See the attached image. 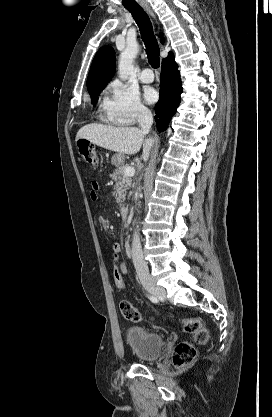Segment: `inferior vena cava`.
Segmentation results:
<instances>
[{"instance_id": "602c4592", "label": "inferior vena cava", "mask_w": 272, "mask_h": 417, "mask_svg": "<svg viewBox=\"0 0 272 417\" xmlns=\"http://www.w3.org/2000/svg\"><path fill=\"white\" fill-rule=\"evenodd\" d=\"M138 122L143 132L148 133L152 124L153 116L149 109L141 107L138 114ZM132 260L138 276H148L149 270L142 251L140 238L137 232L134 233L132 241Z\"/></svg>"}]
</instances>
